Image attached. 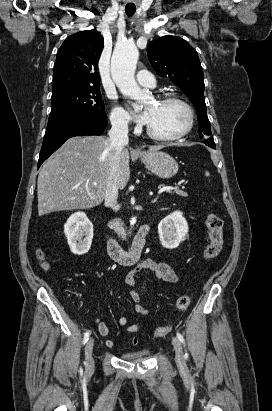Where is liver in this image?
<instances>
[{
	"label": "liver",
	"mask_w": 272,
	"mask_h": 411,
	"mask_svg": "<svg viewBox=\"0 0 272 411\" xmlns=\"http://www.w3.org/2000/svg\"><path fill=\"white\" fill-rule=\"evenodd\" d=\"M163 146H150L155 152ZM112 151L109 138L73 137L67 140L42 166L37 182L38 214L89 209L103 202ZM130 155L123 148L117 174L118 189L130 179ZM96 183V185H94Z\"/></svg>",
	"instance_id": "1"
}]
</instances>
